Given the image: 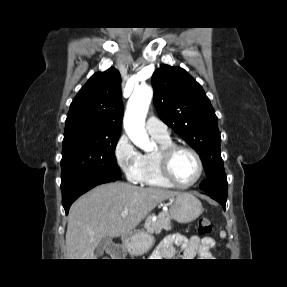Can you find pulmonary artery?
Here are the masks:
<instances>
[{"mask_svg": "<svg viewBox=\"0 0 287 287\" xmlns=\"http://www.w3.org/2000/svg\"><path fill=\"white\" fill-rule=\"evenodd\" d=\"M146 130L153 137L169 138L167 125L155 116H150L146 120Z\"/></svg>", "mask_w": 287, "mask_h": 287, "instance_id": "pulmonary-artery-1", "label": "pulmonary artery"}]
</instances>
